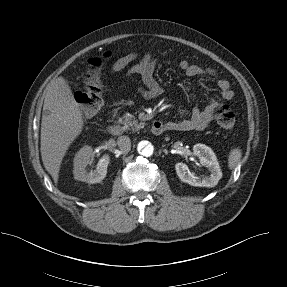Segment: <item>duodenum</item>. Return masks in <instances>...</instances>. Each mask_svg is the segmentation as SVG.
Listing matches in <instances>:
<instances>
[{"label":"duodenum","mask_w":287,"mask_h":287,"mask_svg":"<svg viewBox=\"0 0 287 287\" xmlns=\"http://www.w3.org/2000/svg\"><path fill=\"white\" fill-rule=\"evenodd\" d=\"M165 130V126L160 121H154L151 127V131L154 135H161ZM108 131L115 136L123 134V128L119 124L112 123L108 126Z\"/></svg>","instance_id":"duodenum-1"}]
</instances>
